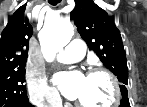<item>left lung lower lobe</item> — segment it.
Returning a JSON list of instances; mask_svg holds the SVG:
<instances>
[{
	"mask_svg": "<svg viewBox=\"0 0 147 107\" xmlns=\"http://www.w3.org/2000/svg\"><path fill=\"white\" fill-rule=\"evenodd\" d=\"M119 107H130L129 99L127 96H122Z\"/></svg>",
	"mask_w": 147,
	"mask_h": 107,
	"instance_id": "0a47b994",
	"label": "left lung lower lobe"
}]
</instances>
